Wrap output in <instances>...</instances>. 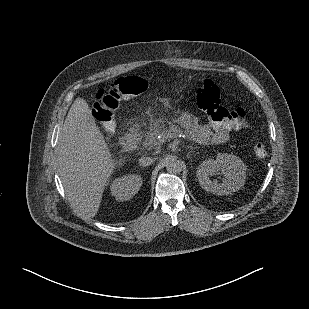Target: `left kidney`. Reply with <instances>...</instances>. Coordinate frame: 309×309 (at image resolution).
<instances>
[{"label": "left kidney", "mask_w": 309, "mask_h": 309, "mask_svg": "<svg viewBox=\"0 0 309 309\" xmlns=\"http://www.w3.org/2000/svg\"><path fill=\"white\" fill-rule=\"evenodd\" d=\"M224 176L222 183L211 180L214 173ZM200 186L215 195H228L242 188L246 179V166L232 154L219 153L215 159L203 161L196 171Z\"/></svg>", "instance_id": "obj_1"}]
</instances>
